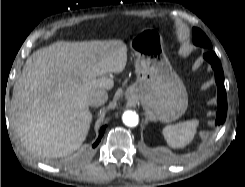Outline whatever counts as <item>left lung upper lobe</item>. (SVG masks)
I'll return each mask as SVG.
<instances>
[{"label":"left lung upper lobe","instance_id":"1","mask_svg":"<svg viewBox=\"0 0 245 187\" xmlns=\"http://www.w3.org/2000/svg\"><path fill=\"white\" fill-rule=\"evenodd\" d=\"M193 41L195 45L208 49L212 48L211 42L208 37L198 28H193Z\"/></svg>","mask_w":245,"mask_h":187}]
</instances>
